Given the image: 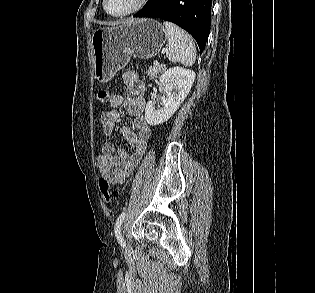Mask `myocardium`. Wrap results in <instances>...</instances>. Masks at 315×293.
Listing matches in <instances>:
<instances>
[{
    "instance_id": "obj_1",
    "label": "myocardium",
    "mask_w": 315,
    "mask_h": 293,
    "mask_svg": "<svg viewBox=\"0 0 315 293\" xmlns=\"http://www.w3.org/2000/svg\"><path fill=\"white\" fill-rule=\"evenodd\" d=\"M147 2H148V0H137L135 6L132 7L130 10H128L124 13H121V14H112L107 9V0H103V9L106 12V14H108L111 17L122 18V17H126V16L137 13L147 4Z\"/></svg>"
}]
</instances>
